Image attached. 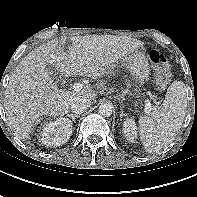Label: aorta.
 Returning a JSON list of instances; mask_svg holds the SVG:
<instances>
[{"mask_svg":"<svg viewBox=\"0 0 197 197\" xmlns=\"http://www.w3.org/2000/svg\"><path fill=\"white\" fill-rule=\"evenodd\" d=\"M98 112L104 117H110L113 112V105L109 102L102 103L98 108Z\"/></svg>","mask_w":197,"mask_h":197,"instance_id":"obj_1","label":"aorta"}]
</instances>
